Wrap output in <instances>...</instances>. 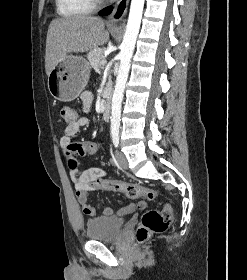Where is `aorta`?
Here are the masks:
<instances>
[{
	"mask_svg": "<svg viewBox=\"0 0 247 280\" xmlns=\"http://www.w3.org/2000/svg\"><path fill=\"white\" fill-rule=\"evenodd\" d=\"M145 0H131L130 12L120 51V67L112 97L111 134L118 135L121 121V104L130 69V61L139 33Z\"/></svg>",
	"mask_w": 247,
	"mask_h": 280,
	"instance_id": "762f6f07",
	"label": "aorta"
}]
</instances>
